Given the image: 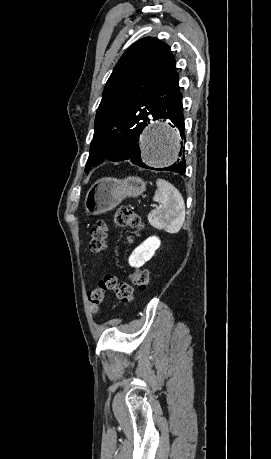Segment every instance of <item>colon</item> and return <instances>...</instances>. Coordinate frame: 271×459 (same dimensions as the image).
Returning <instances> with one entry per match:
<instances>
[{"mask_svg": "<svg viewBox=\"0 0 271 459\" xmlns=\"http://www.w3.org/2000/svg\"><path fill=\"white\" fill-rule=\"evenodd\" d=\"M116 226L139 231L143 222L141 217L128 207L119 208L113 217ZM107 222L98 220L90 230L89 248L94 253L102 252L106 247ZM132 284L139 290H145L149 284V273L144 269L135 270L130 276ZM107 292H112L118 300L130 303L134 291L130 284L120 281L115 276H105L98 285L88 293L92 313H97L100 303Z\"/></svg>", "mask_w": 271, "mask_h": 459, "instance_id": "1", "label": "colon"}]
</instances>
